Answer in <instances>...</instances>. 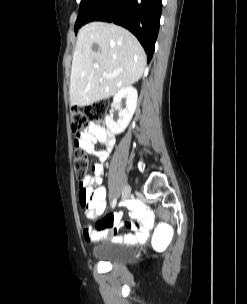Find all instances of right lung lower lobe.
Masks as SVG:
<instances>
[{"label":"right lung lower lobe","mask_w":247,"mask_h":304,"mask_svg":"<svg viewBox=\"0 0 247 304\" xmlns=\"http://www.w3.org/2000/svg\"><path fill=\"white\" fill-rule=\"evenodd\" d=\"M162 0H103L82 22H113L127 28L143 46L147 60L153 56Z\"/></svg>","instance_id":"1"}]
</instances>
